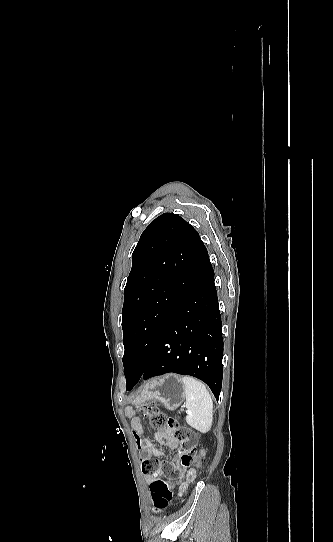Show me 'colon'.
<instances>
[{
    "label": "colon",
    "instance_id": "colon-1",
    "mask_svg": "<svg viewBox=\"0 0 333 542\" xmlns=\"http://www.w3.org/2000/svg\"><path fill=\"white\" fill-rule=\"evenodd\" d=\"M142 410L149 426L156 433H163L164 439H171L172 442L181 444L184 450V454L181 456V466L183 468L191 466L199 468L201 466L206 450L200 446L199 437L193 429L160 411L154 402L146 403ZM141 468L147 475H160L167 478H173L175 475V470L169 461L160 460L159 458L150 457L145 459ZM191 481L192 477L189 476L185 482H180L178 493H185ZM174 496L175 493L172 487L163 481L153 482L150 486V499L156 510L165 509Z\"/></svg>",
    "mask_w": 333,
    "mask_h": 542
}]
</instances>
